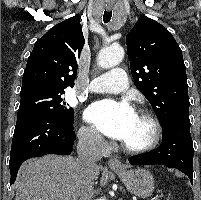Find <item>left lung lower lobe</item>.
<instances>
[{
	"label": "left lung lower lobe",
	"mask_w": 201,
	"mask_h": 200,
	"mask_svg": "<svg viewBox=\"0 0 201 200\" xmlns=\"http://www.w3.org/2000/svg\"><path fill=\"white\" fill-rule=\"evenodd\" d=\"M162 144L154 151L129 158L131 165L162 164L186 174L193 184V142L189 118L177 117L162 126Z\"/></svg>",
	"instance_id": "0a47b994"
}]
</instances>
